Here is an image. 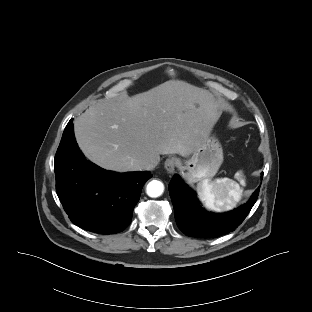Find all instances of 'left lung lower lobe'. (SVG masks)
Segmentation results:
<instances>
[{"mask_svg": "<svg viewBox=\"0 0 312 312\" xmlns=\"http://www.w3.org/2000/svg\"><path fill=\"white\" fill-rule=\"evenodd\" d=\"M259 189L260 187L255 190L246 204L233 211L216 214L207 212L201 207L195 192L179 175H174L169 184L178 228L185 235L197 238H216L235 230L255 204Z\"/></svg>", "mask_w": 312, "mask_h": 312, "instance_id": "left-lung-lower-lobe-1", "label": "left lung lower lobe"}]
</instances>
